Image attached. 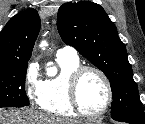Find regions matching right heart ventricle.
<instances>
[{
  "label": "right heart ventricle",
  "mask_w": 145,
  "mask_h": 124,
  "mask_svg": "<svg viewBox=\"0 0 145 124\" xmlns=\"http://www.w3.org/2000/svg\"><path fill=\"white\" fill-rule=\"evenodd\" d=\"M60 71L57 75L49 77L42 82L37 100L38 106L48 114L71 118L78 114L73 109L68 92L70 74L81 66L78 58H64L57 56Z\"/></svg>",
  "instance_id": "right-heart-ventricle-1"
}]
</instances>
